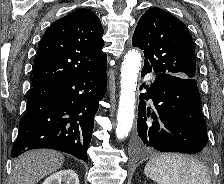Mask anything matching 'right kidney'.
Returning a JSON list of instances; mask_svg holds the SVG:
<instances>
[{
    "instance_id": "obj_1",
    "label": "right kidney",
    "mask_w": 224,
    "mask_h": 184,
    "mask_svg": "<svg viewBox=\"0 0 224 184\" xmlns=\"http://www.w3.org/2000/svg\"><path fill=\"white\" fill-rule=\"evenodd\" d=\"M42 184H80L78 175L70 169L58 171L47 177Z\"/></svg>"
}]
</instances>
